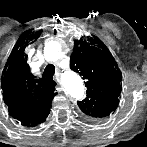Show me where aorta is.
<instances>
[{
    "label": "aorta",
    "instance_id": "obj_1",
    "mask_svg": "<svg viewBox=\"0 0 147 147\" xmlns=\"http://www.w3.org/2000/svg\"><path fill=\"white\" fill-rule=\"evenodd\" d=\"M69 81L73 84L74 89H76L77 86L80 85V79L74 74H71L69 76Z\"/></svg>",
    "mask_w": 147,
    "mask_h": 147
}]
</instances>
